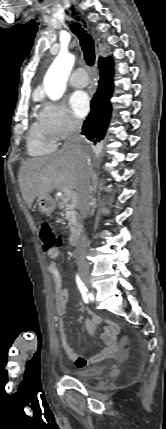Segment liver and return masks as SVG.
I'll use <instances>...</instances> for the list:
<instances>
[{"label": "liver", "mask_w": 166, "mask_h": 429, "mask_svg": "<svg viewBox=\"0 0 166 429\" xmlns=\"http://www.w3.org/2000/svg\"><path fill=\"white\" fill-rule=\"evenodd\" d=\"M80 167V157L64 148L54 154L23 162L18 182L28 208H31L36 197L49 195L54 189L77 190Z\"/></svg>", "instance_id": "6515ba94"}]
</instances>
